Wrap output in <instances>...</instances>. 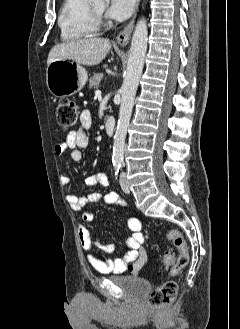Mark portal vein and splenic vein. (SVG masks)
<instances>
[{
    "instance_id": "obj_1",
    "label": "portal vein and splenic vein",
    "mask_w": 240,
    "mask_h": 329,
    "mask_svg": "<svg viewBox=\"0 0 240 329\" xmlns=\"http://www.w3.org/2000/svg\"><path fill=\"white\" fill-rule=\"evenodd\" d=\"M95 94H96V95H101V91H100V90H96V91H95Z\"/></svg>"
}]
</instances>
